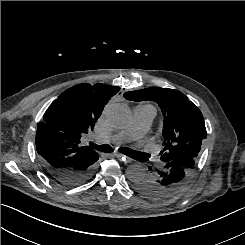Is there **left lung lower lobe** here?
<instances>
[{
	"label": "left lung lower lobe",
	"instance_id": "left-lung-lower-lobe-1",
	"mask_svg": "<svg viewBox=\"0 0 245 245\" xmlns=\"http://www.w3.org/2000/svg\"><path fill=\"white\" fill-rule=\"evenodd\" d=\"M196 159L180 157L164 163L162 169L146 174L135 181L134 186L141 194L151 199H165L178 192L189 179ZM149 170H152L149 168Z\"/></svg>",
	"mask_w": 245,
	"mask_h": 245
}]
</instances>
